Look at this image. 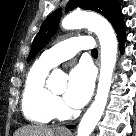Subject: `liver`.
<instances>
[{
  "label": "liver",
  "instance_id": "liver-1",
  "mask_svg": "<svg viewBox=\"0 0 136 136\" xmlns=\"http://www.w3.org/2000/svg\"><path fill=\"white\" fill-rule=\"evenodd\" d=\"M14 136H55V133L46 127L29 125L18 129Z\"/></svg>",
  "mask_w": 136,
  "mask_h": 136
}]
</instances>
